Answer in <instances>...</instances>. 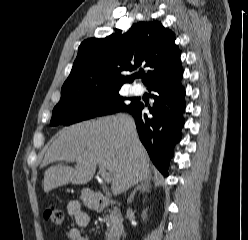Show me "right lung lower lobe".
<instances>
[{
	"label": "right lung lower lobe",
	"mask_w": 248,
	"mask_h": 240,
	"mask_svg": "<svg viewBox=\"0 0 248 240\" xmlns=\"http://www.w3.org/2000/svg\"><path fill=\"white\" fill-rule=\"evenodd\" d=\"M182 77L181 68L172 76L148 86L154 92V104L149 107L150 116L143 112L145 106L141 102H135L124 110L134 117L141 142L154 165L164 175H168L169 161L174 155V146L181 140L185 122Z\"/></svg>",
	"instance_id": "right-lung-lower-lobe-1"
}]
</instances>
